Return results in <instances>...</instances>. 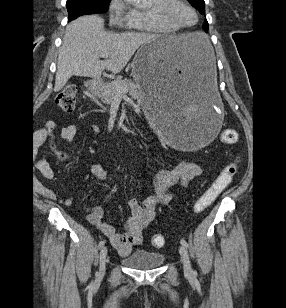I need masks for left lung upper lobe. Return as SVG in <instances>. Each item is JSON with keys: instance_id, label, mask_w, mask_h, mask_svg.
<instances>
[{"instance_id": "5c2ea615", "label": "left lung upper lobe", "mask_w": 286, "mask_h": 308, "mask_svg": "<svg viewBox=\"0 0 286 308\" xmlns=\"http://www.w3.org/2000/svg\"><path fill=\"white\" fill-rule=\"evenodd\" d=\"M200 13L205 14V2L204 0H188ZM203 29L208 32V22L205 21Z\"/></svg>"}]
</instances>
